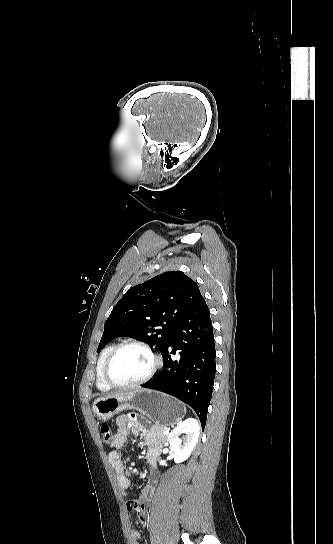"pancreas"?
Segmentation results:
<instances>
[{
  "label": "pancreas",
  "instance_id": "1",
  "mask_svg": "<svg viewBox=\"0 0 333 544\" xmlns=\"http://www.w3.org/2000/svg\"><path fill=\"white\" fill-rule=\"evenodd\" d=\"M151 431H152V433L157 434L162 439V441H166V436L167 435L164 433L165 427H163V426H154Z\"/></svg>",
  "mask_w": 333,
  "mask_h": 544
}]
</instances>
